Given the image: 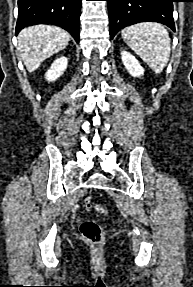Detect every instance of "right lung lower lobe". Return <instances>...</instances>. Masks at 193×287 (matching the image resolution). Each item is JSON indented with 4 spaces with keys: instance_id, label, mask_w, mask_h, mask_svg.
Masks as SVG:
<instances>
[{
    "instance_id": "obj_1",
    "label": "right lung lower lobe",
    "mask_w": 193,
    "mask_h": 287,
    "mask_svg": "<svg viewBox=\"0 0 193 287\" xmlns=\"http://www.w3.org/2000/svg\"><path fill=\"white\" fill-rule=\"evenodd\" d=\"M82 0H18L16 34L26 26L46 23L67 30L79 42Z\"/></svg>"
}]
</instances>
